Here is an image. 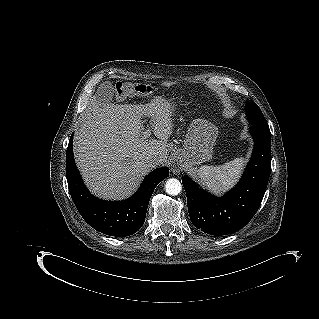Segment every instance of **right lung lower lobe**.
Returning <instances> with one entry per match:
<instances>
[{"label": "right lung lower lobe", "mask_w": 319, "mask_h": 319, "mask_svg": "<svg viewBox=\"0 0 319 319\" xmlns=\"http://www.w3.org/2000/svg\"><path fill=\"white\" fill-rule=\"evenodd\" d=\"M73 134L66 153V176L73 202L83 219L95 230L110 236L125 237L136 233L145 221L149 199L156 186L169 176L167 167L147 175L139 190L123 201H104L85 187L75 166Z\"/></svg>", "instance_id": "obj_1"}]
</instances>
